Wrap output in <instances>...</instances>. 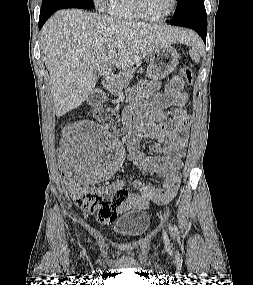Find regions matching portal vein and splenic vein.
<instances>
[{
    "instance_id": "1",
    "label": "portal vein and splenic vein",
    "mask_w": 253,
    "mask_h": 285,
    "mask_svg": "<svg viewBox=\"0 0 253 285\" xmlns=\"http://www.w3.org/2000/svg\"><path fill=\"white\" fill-rule=\"evenodd\" d=\"M117 48H121V45H116Z\"/></svg>"
}]
</instances>
